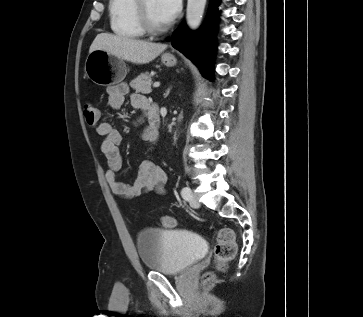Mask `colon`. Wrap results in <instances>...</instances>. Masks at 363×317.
<instances>
[{
    "label": "colon",
    "instance_id": "obj_1",
    "mask_svg": "<svg viewBox=\"0 0 363 317\" xmlns=\"http://www.w3.org/2000/svg\"><path fill=\"white\" fill-rule=\"evenodd\" d=\"M83 115L86 123L90 127H96L99 124V109L92 103H87L83 107ZM161 223L166 228L176 226V220L171 216H164ZM237 253V244L235 241L234 232L230 228H220L216 232V246L214 249V259L217 267L221 270L235 258ZM214 279L212 273L204 275V282H211Z\"/></svg>",
    "mask_w": 363,
    "mask_h": 317
}]
</instances>
